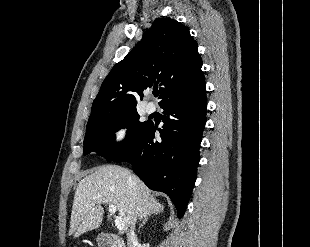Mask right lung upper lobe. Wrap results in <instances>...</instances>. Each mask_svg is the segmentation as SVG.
Returning <instances> with one entry per match:
<instances>
[{
    "label": "right lung upper lobe",
    "mask_w": 310,
    "mask_h": 247,
    "mask_svg": "<svg viewBox=\"0 0 310 247\" xmlns=\"http://www.w3.org/2000/svg\"><path fill=\"white\" fill-rule=\"evenodd\" d=\"M198 44L187 27L171 18L154 21L134 49L103 81L88 123L136 109L143 91L160 88L159 105L204 81Z\"/></svg>",
    "instance_id": "obj_1"
}]
</instances>
